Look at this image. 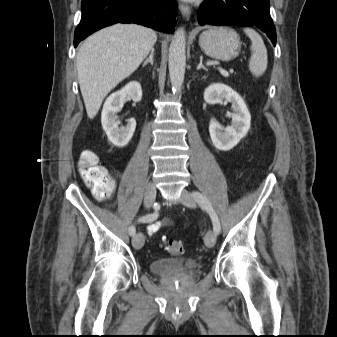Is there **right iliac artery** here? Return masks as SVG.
<instances>
[{"instance_id": "right-iliac-artery-1", "label": "right iliac artery", "mask_w": 337, "mask_h": 337, "mask_svg": "<svg viewBox=\"0 0 337 337\" xmlns=\"http://www.w3.org/2000/svg\"><path fill=\"white\" fill-rule=\"evenodd\" d=\"M154 206H155V208H156L157 203H155ZM157 217H158V212H157V210H156V211L153 212V213H150V214H147V215H145V216L140 217V218L138 219V222H143V223H144V222H152V221L156 220ZM135 233H136L135 226L132 225V226L129 228V234H130V236H134Z\"/></svg>"}]
</instances>
